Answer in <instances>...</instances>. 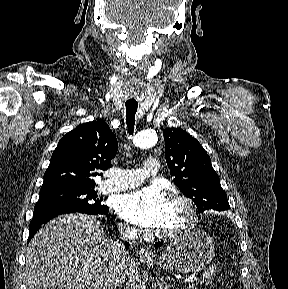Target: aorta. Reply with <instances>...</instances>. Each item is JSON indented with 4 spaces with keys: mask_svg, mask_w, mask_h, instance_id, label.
<instances>
[{
    "mask_svg": "<svg viewBox=\"0 0 288 289\" xmlns=\"http://www.w3.org/2000/svg\"><path fill=\"white\" fill-rule=\"evenodd\" d=\"M133 143L140 148H149L157 143V134L153 130L139 132L133 140Z\"/></svg>",
    "mask_w": 288,
    "mask_h": 289,
    "instance_id": "762f6f07",
    "label": "aorta"
}]
</instances>
